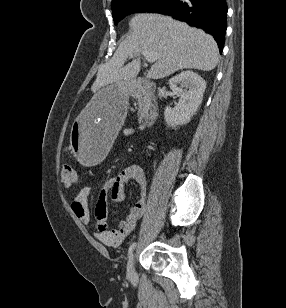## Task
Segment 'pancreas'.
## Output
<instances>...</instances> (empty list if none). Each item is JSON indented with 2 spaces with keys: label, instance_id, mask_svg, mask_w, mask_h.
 I'll list each match as a JSON object with an SVG mask.
<instances>
[{
  "label": "pancreas",
  "instance_id": "cf45deb5",
  "mask_svg": "<svg viewBox=\"0 0 286 308\" xmlns=\"http://www.w3.org/2000/svg\"><path fill=\"white\" fill-rule=\"evenodd\" d=\"M132 96L136 98L138 101L139 106V121H141L143 118H145L148 114V111L151 107V99L150 94L147 91L132 88L131 89Z\"/></svg>",
  "mask_w": 286,
  "mask_h": 308
}]
</instances>
